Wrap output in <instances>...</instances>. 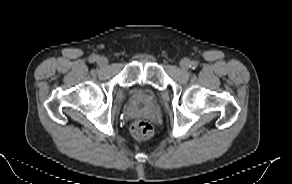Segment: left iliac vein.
<instances>
[{
	"label": "left iliac vein",
	"mask_w": 292,
	"mask_h": 184,
	"mask_svg": "<svg viewBox=\"0 0 292 184\" xmlns=\"http://www.w3.org/2000/svg\"><path fill=\"white\" fill-rule=\"evenodd\" d=\"M189 65H190V62L188 59H182L180 61V68L183 70V71H187L189 69Z\"/></svg>",
	"instance_id": "1"
}]
</instances>
